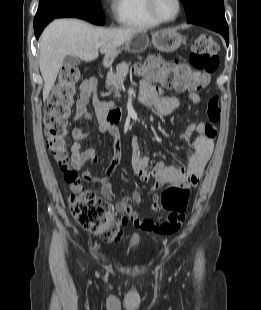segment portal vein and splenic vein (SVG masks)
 Wrapping results in <instances>:
<instances>
[{
    "label": "portal vein and splenic vein",
    "mask_w": 261,
    "mask_h": 310,
    "mask_svg": "<svg viewBox=\"0 0 261 310\" xmlns=\"http://www.w3.org/2000/svg\"><path fill=\"white\" fill-rule=\"evenodd\" d=\"M101 46H102L101 43L96 44V47H97V48H100Z\"/></svg>",
    "instance_id": "portal-vein-and-splenic-vein-1"
}]
</instances>
